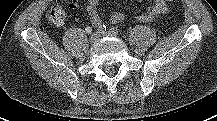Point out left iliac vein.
Masks as SVG:
<instances>
[{
  "label": "left iliac vein",
  "mask_w": 217,
  "mask_h": 121,
  "mask_svg": "<svg viewBox=\"0 0 217 121\" xmlns=\"http://www.w3.org/2000/svg\"><path fill=\"white\" fill-rule=\"evenodd\" d=\"M102 36H116V35L110 31H107V32L102 33Z\"/></svg>",
  "instance_id": "1"
}]
</instances>
